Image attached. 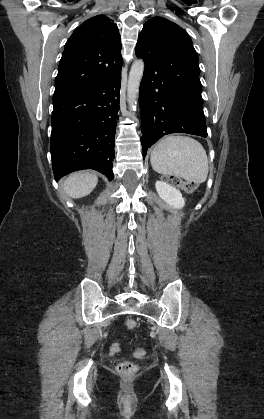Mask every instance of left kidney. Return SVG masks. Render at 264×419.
Wrapping results in <instances>:
<instances>
[{
    "label": "left kidney",
    "mask_w": 264,
    "mask_h": 419,
    "mask_svg": "<svg viewBox=\"0 0 264 419\" xmlns=\"http://www.w3.org/2000/svg\"><path fill=\"white\" fill-rule=\"evenodd\" d=\"M155 188L160 198L172 208L181 209L184 207L185 200L178 189L163 181H157Z\"/></svg>",
    "instance_id": "5707ae66"
}]
</instances>
